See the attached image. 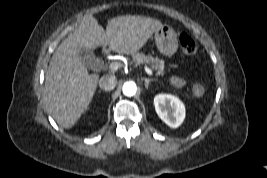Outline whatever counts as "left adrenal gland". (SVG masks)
Instances as JSON below:
<instances>
[{
    "instance_id": "1",
    "label": "left adrenal gland",
    "mask_w": 267,
    "mask_h": 178,
    "mask_svg": "<svg viewBox=\"0 0 267 178\" xmlns=\"http://www.w3.org/2000/svg\"><path fill=\"white\" fill-rule=\"evenodd\" d=\"M142 80H144L145 82V87L148 89L149 88V84L153 81H156L155 79H148V78H143Z\"/></svg>"
}]
</instances>
